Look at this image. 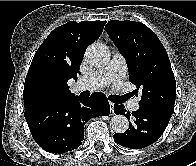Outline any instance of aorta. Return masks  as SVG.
I'll use <instances>...</instances> for the list:
<instances>
[{"mask_svg": "<svg viewBox=\"0 0 196 166\" xmlns=\"http://www.w3.org/2000/svg\"><path fill=\"white\" fill-rule=\"evenodd\" d=\"M85 58L92 65L103 66L110 60V51L104 44H92L87 48ZM110 124L113 131L118 134L126 132L129 127L128 119L120 114L115 115Z\"/></svg>", "mask_w": 196, "mask_h": 166, "instance_id": "obj_1", "label": "aorta"}]
</instances>
